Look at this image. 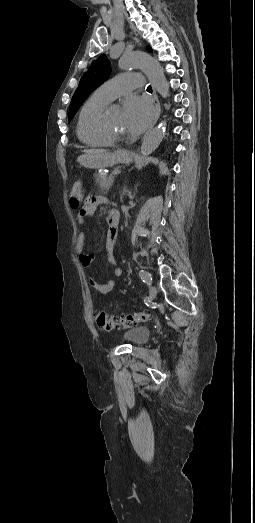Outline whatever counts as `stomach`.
Segmentation results:
<instances>
[{
	"mask_svg": "<svg viewBox=\"0 0 255 523\" xmlns=\"http://www.w3.org/2000/svg\"><path fill=\"white\" fill-rule=\"evenodd\" d=\"M132 158L129 150H116L114 154H104V156H100L97 151H88L85 157L78 158V162L84 168H110L115 164H129Z\"/></svg>",
	"mask_w": 255,
	"mask_h": 523,
	"instance_id": "0dacf381",
	"label": "stomach"
}]
</instances>
